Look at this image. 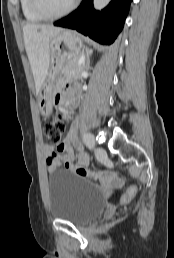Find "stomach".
Masks as SVG:
<instances>
[{"label": "stomach", "mask_w": 174, "mask_h": 258, "mask_svg": "<svg viewBox=\"0 0 174 258\" xmlns=\"http://www.w3.org/2000/svg\"><path fill=\"white\" fill-rule=\"evenodd\" d=\"M49 47L51 68L38 95L39 111L43 117H48L52 113L53 94L59 73L66 62L82 53V41L75 32L62 30L50 40Z\"/></svg>", "instance_id": "obj_1"}]
</instances>
